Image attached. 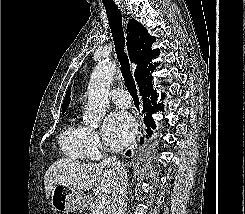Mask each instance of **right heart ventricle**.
<instances>
[{"label": "right heart ventricle", "mask_w": 245, "mask_h": 214, "mask_svg": "<svg viewBox=\"0 0 245 214\" xmlns=\"http://www.w3.org/2000/svg\"><path fill=\"white\" fill-rule=\"evenodd\" d=\"M86 127L72 120L59 137V146L63 153L72 160H83L87 156L85 135Z\"/></svg>", "instance_id": "obj_1"}]
</instances>
